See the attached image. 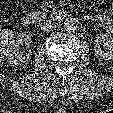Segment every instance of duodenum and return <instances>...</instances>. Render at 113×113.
Returning <instances> with one entry per match:
<instances>
[{
  "mask_svg": "<svg viewBox=\"0 0 113 113\" xmlns=\"http://www.w3.org/2000/svg\"><path fill=\"white\" fill-rule=\"evenodd\" d=\"M68 16L65 10L32 11L24 15L22 21L25 26H32L39 21H61Z\"/></svg>",
  "mask_w": 113,
  "mask_h": 113,
  "instance_id": "duodenum-1",
  "label": "duodenum"
}]
</instances>
